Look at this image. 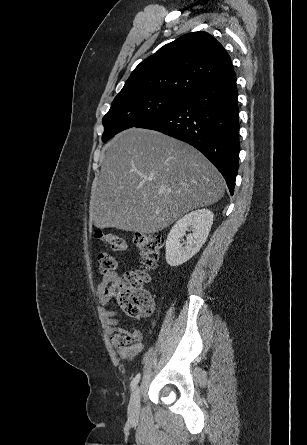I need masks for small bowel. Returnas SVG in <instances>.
Masks as SVG:
<instances>
[{
  "label": "small bowel",
  "mask_w": 307,
  "mask_h": 445,
  "mask_svg": "<svg viewBox=\"0 0 307 445\" xmlns=\"http://www.w3.org/2000/svg\"><path fill=\"white\" fill-rule=\"evenodd\" d=\"M120 279L119 274L115 271L104 274L97 287L101 304L104 306L108 304L111 293L120 282ZM101 313L111 332L110 343L116 348L122 358L132 359L142 351V333L140 330H127L120 327L115 311L109 310L106 307L101 308Z\"/></svg>",
  "instance_id": "1"
}]
</instances>
